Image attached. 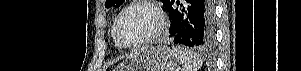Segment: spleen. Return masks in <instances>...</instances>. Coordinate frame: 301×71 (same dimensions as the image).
<instances>
[{
    "instance_id": "3e777b00",
    "label": "spleen",
    "mask_w": 301,
    "mask_h": 71,
    "mask_svg": "<svg viewBox=\"0 0 301 71\" xmlns=\"http://www.w3.org/2000/svg\"><path fill=\"white\" fill-rule=\"evenodd\" d=\"M172 52L182 64V71H198L202 66V61L199 59L198 55L190 50L181 47H173Z\"/></svg>"
}]
</instances>
